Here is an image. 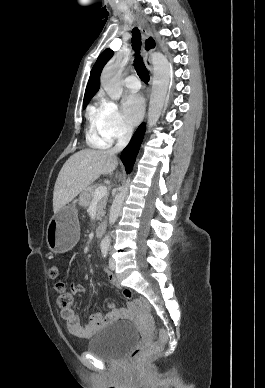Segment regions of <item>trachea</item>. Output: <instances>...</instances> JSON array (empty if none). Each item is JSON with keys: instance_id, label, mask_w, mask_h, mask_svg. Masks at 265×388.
I'll list each match as a JSON object with an SVG mask.
<instances>
[{"instance_id": "3493384b", "label": "trachea", "mask_w": 265, "mask_h": 388, "mask_svg": "<svg viewBox=\"0 0 265 388\" xmlns=\"http://www.w3.org/2000/svg\"><path fill=\"white\" fill-rule=\"evenodd\" d=\"M132 47L134 51L137 53V56L134 61V66L137 71V74L143 80V82L147 83L149 81L148 70L146 69L142 57L138 54L141 47V34L138 28H134L132 30Z\"/></svg>"}]
</instances>
